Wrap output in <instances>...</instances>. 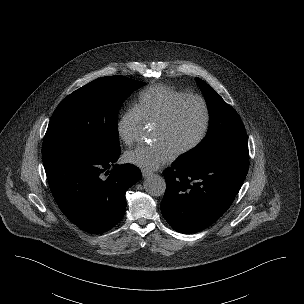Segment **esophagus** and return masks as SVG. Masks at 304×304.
Here are the masks:
<instances>
[{
    "instance_id": "esophagus-1",
    "label": "esophagus",
    "mask_w": 304,
    "mask_h": 304,
    "mask_svg": "<svg viewBox=\"0 0 304 304\" xmlns=\"http://www.w3.org/2000/svg\"><path fill=\"white\" fill-rule=\"evenodd\" d=\"M141 173H142L143 177H148L153 174L152 172L147 171V170H142Z\"/></svg>"
}]
</instances>
